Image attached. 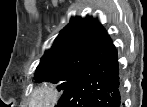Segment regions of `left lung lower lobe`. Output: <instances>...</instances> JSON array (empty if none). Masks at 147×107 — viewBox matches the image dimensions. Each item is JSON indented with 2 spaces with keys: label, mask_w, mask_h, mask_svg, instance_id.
Returning a JSON list of instances; mask_svg holds the SVG:
<instances>
[{
  "label": "left lung lower lobe",
  "mask_w": 147,
  "mask_h": 107,
  "mask_svg": "<svg viewBox=\"0 0 147 107\" xmlns=\"http://www.w3.org/2000/svg\"><path fill=\"white\" fill-rule=\"evenodd\" d=\"M118 56L109 36L63 90L56 107H121Z\"/></svg>",
  "instance_id": "0a47b994"
}]
</instances>
